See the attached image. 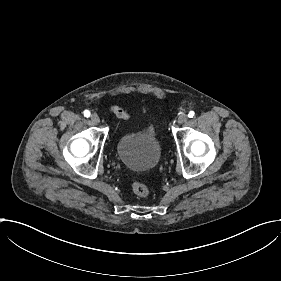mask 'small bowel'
Returning <instances> with one entry per match:
<instances>
[{
  "instance_id": "1",
  "label": "small bowel",
  "mask_w": 281,
  "mask_h": 281,
  "mask_svg": "<svg viewBox=\"0 0 281 281\" xmlns=\"http://www.w3.org/2000/svg\"><path fill=\"white\" fill-rule=\"evenodd\" d=\"M109 114L111 116H115V117H118V118H121V119H127L128 118V114L125 113L123 110H121L116 105H110Z\"/></svg>"
}]
</instances>
